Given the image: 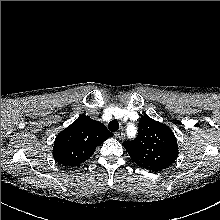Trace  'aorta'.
<instances>
[{"label":"aorta","mask_w":220,"mask_h":220,"mask_svg":"<svg viewBox=\"0 0 220 220\" xmlns=\"http://www.w3.org/2000/svg\"><path fill=\"white\" fill-rule=\"evenodd\" d=\"M131 131H133L135 133L136 132V128L133 125H128L127 132H131Z\"/></svg>","instance_id":"762f6f07"}]
</instances>
